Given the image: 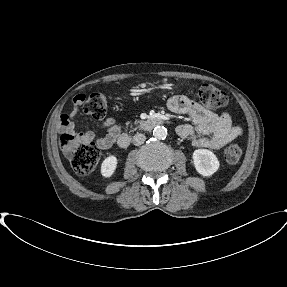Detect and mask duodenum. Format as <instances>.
Segmentation results:
<instances>
[{"label":"duodenum","mask_w":287,"mask_h":287,"mask_svg":"<svg viewBox=\"0 0 287 287\" xmlns=\"http://www.w3.org/2000/svg\"><path fill=\"white\" fill-rule=\"evenodd\" d=\"M163 123V119L160 116H151L138 124V128L141 131H151L158 125ZM117 145L121 149L128 147L130 138L127 134H120L116 139Z\"/></svg>","instance_id":"obj_1"}]
</instances>
